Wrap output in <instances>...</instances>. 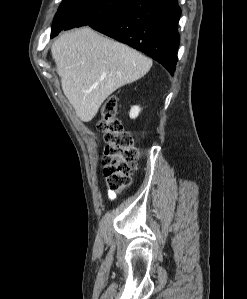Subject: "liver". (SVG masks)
Masks as SVG:
<instances>
[{"mask_svg": "<svg viewBox=\"0 0 247 299\" xmlns=\"http://www.w3.org/2000/svg\"><path fill=\"white\" fill-rule=\"evenodd\" d=\"M62 90L78 118L91 121L118 88L148 73L152 61L90 27L63 33L51 47Z\"/></svg>", "mask_w": 247, "mask_h": 299, "instance_id": "liver-1", "label": "liver"}]
</instances>
